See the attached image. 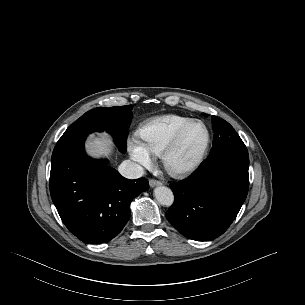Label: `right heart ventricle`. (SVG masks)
Masks as SVG:
<instances>
[{"label":"right heart ventricle","mask_w":305,"mask_h":305,"mask_svg":"<svg viewBox=\"0 0 305 305\" xmlns=\"http://www.w3.org/2000/svg\"><path fill=\"white\" fill-rule=\"evenodd\" d=\"M192 118L164 115L145 122L138 131L141 143L151 153L161 155L178 131Z\"/></svg>","instance_id":"1"}]
</instances>
